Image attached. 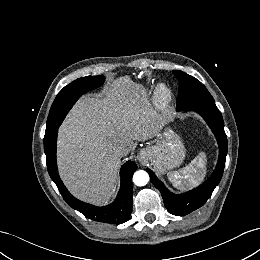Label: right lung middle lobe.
I'll use <instances>...</instances> for the list:
<instances>
[{
    "label": "right lung middle lobe",
    "mask_w": 260,
    "mask_h": 260,
    "mask_svg": "<svg viewBox=\"0 0 260 260\" xmlns=\"http://www.w3.org/2000/svg\"><path fill=\"white\" fill-rule=\"evenodd\" d=\"M103 82L104 76H87L65 86L52 104L47 120L46 133L50 135L58 129L68 111L83 93L98 88Z\"/></svg>",
    "instance_id": "right-lung-middle-lobe-1"
}]
</instances>
